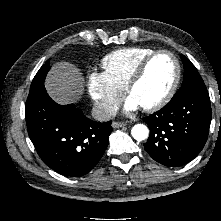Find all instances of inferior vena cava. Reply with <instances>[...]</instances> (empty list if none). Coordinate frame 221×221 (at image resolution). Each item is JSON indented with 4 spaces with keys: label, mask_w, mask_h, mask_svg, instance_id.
I'll return each instance as SVG.
<instances>
[{
    "label": "inferior vena cava",
    "mask_w": 221,
    "mask_h": 221,
    "mask_svg": "<svg viewBox=\"0 0 221 221\" xmlns=\"http://www.w3.org/2000/svg\"><path fill=\"white\" fill-rule=\"evenodd\" d=\"M116 115V111L103 104H96L92 109V116L95 120L100 122L109 121Z\"/></svg>",
    "instance_id": "obj_1"
}]
</instances>
